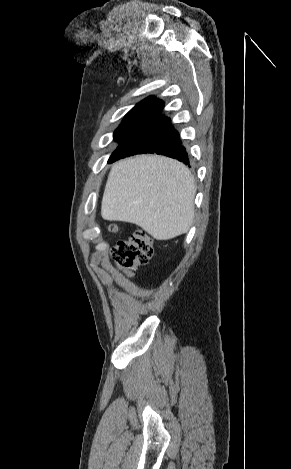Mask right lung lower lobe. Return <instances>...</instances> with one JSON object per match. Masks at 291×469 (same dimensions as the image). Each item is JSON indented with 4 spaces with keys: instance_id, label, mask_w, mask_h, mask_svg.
<instances>
[{
    "instance_id": "98d812e1",
    "label": "right lung lower lobe",
    "mask_w": 291,
    "mask_h": 469,
    "mask_svg": "<svg viewBox=\"0 0 291 469\" xmlns=\"http://www.w3.org/2000/svg\"><path fill=\"white\" fill-rule=\"evenodd\" d=\"M140 153L162 154L190 166L189 155L178 132L173 128L171 120L161 114L150 119L122 142L111 155L109 163Z\"/></svg>"
}]
</instances>
